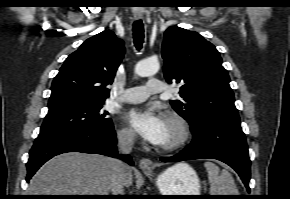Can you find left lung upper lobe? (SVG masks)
I'll return each instance as SVG.
<instances>
[{"label":"left lung upper lobe","mask_w":290,"mask_h":199,"mask_svg":"<svg viewBox=\"0 0 290 199\" xmlns=\"http://www.w3.org/2000/svg\"><path fill=\"white\" fill-rule=\"evenodd\" d=\"M162 57L166 81L181 84L182 99L170 101L180 116L191 125L205 119L240 124L229 75L213 44L197 32L173 26L165 32Z\"/></svg>","instance_id":"obj_1"}]
</instances>
